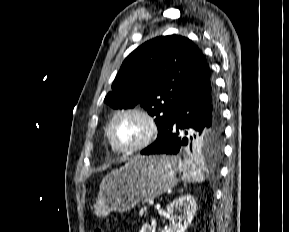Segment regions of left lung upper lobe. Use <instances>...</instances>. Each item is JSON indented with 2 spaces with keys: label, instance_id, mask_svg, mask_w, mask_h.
Wrapping results in <instances>:
<instances>
[{
  "label": "left lung upper lobe",
  "instance_id": "5c2ea615",
  "mask_svg": "<svg viewBox=\"0 0 289 232\" xmlns=\"http://www.w3.org/2000/svg\"><path fill=\"white\" fill-rule=\"evenodd\" d=\"M205 64V57L188 38L156 37L124 60L105 102L112 108L144 107L155 116L158 140L166 132L181 95ZM222 135L220 123L215 134L195 137L186 151L218 154Z\"/></svg>",
  "mask_w": 289,
  "mask_h": 232
}]
</instances>
